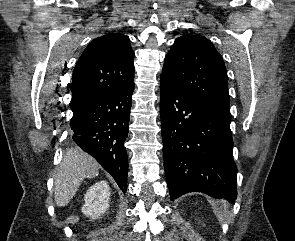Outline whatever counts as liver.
Masks as SVG:
<instances>
[{"label": "liver", "instance_id": "1", "mask_svg": "<svg viewBox=\"0 0 295 241\" xmlns=\"http://www.w3.org/2000/svg\"><path fill=\"white\" fill-rule=\"evenodd\" d=\"M99 163L79 148L70 149L64 155L54 175V196L57 206L64 207L75 196L85 178L98 175Z\"/></svg>", "mask_w": 295, "mask_h": 241}]
</instances>
